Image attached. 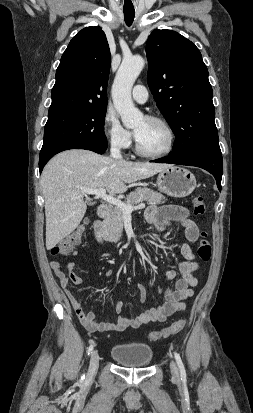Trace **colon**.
Returning a JSON list of instances; mask_svg holds the SVG:
<instances>
[{
    "label": "colon",
    "instance_id": "obj_1",
    "mask_svg": "<svg viewBox=\"0 0 253 413\" xmlns=\"http://www.w3.org/2000/svg\"><path fill=\"white\" fill-rule=\"evenodd\" d=\"M193 213L196 216H203L206 211L205 200L202 196H196L192 202ZM84 233V224L80 225L73 232L64 237L57 245L51 249L53 255H67L73 248L80 244ZM197 255L202 261H208L211 257V245L207 240V234L205 232L200 233V243L197 249ZM186 321L179 319L173 322L169 327L164 328L161 331H154L149 333L148 338L150 341H157L162 338H167L171 335L179 333L185 327Z\"/></svg>",
    "mask_w": 253,
    "mask_h": 413
}]
</instances>
